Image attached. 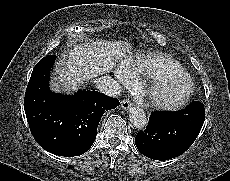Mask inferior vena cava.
Wrapping results in <instances>:
<instances>
[{
  "instance_id": "obj_1",
  "label": "inferior vena cava",
  "mask_w": 230,
  "mask_h": 181,
  "mask_svg": "<svg viewBox=\"0 0 230 181\" xmlns=\"http://www.w3.org/2000/svg\"><path fill=\"white\" fill-rule=\"evenodd\" d=\"M95 86L101 92L111 97L121 94V86L109 76H101L95 79Z\"/></svg>"
}]
</instances>
